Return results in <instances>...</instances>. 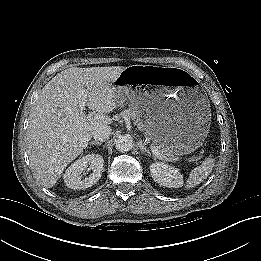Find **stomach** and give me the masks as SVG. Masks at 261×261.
Masks as SVG:
<instances>
[{
	"mask_svg": "<svg viewBox=\"0 0 261 261\" xmlns=\"http://www.w3.org/2000/svg\"><path fill=\"white\" fill-rule=\"evenodd\" d=\"M145 74L173 80L153 84L155 90L150 92L133 88V80ZM115 87L116 104L128 98L144 119L142 129L153 143L169 146L176 155L190 154L202 145L210 110L207 97L190 75L173 67L133 65L120 74Z\"/></svg>",
	"mask_w": 261,
	"mask_h": 261,
	"instance_id": "stomach-1",
	"label": "stomach"
}]
</instances>
